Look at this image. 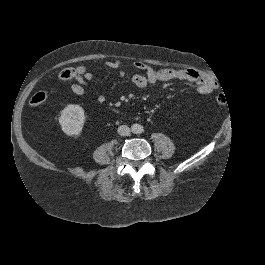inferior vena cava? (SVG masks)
Masks as SVG:
<instances>
[{"label": "inferior vena cava", "instance_id": "602c4592", "mask_svg": "<svg viewBox=\"0 0 265 265\" xmlns=\"http://www.w3.org/2000/svg\"><path fill=\"white\" fill-rule=\"evenodd\" d=\"M117 133L121 136H127L130 134V129L128 126L126 125H120L118 128H117Z\"/></svg>", "mask_w": 265, "mask_h": 265}]
</instances>
